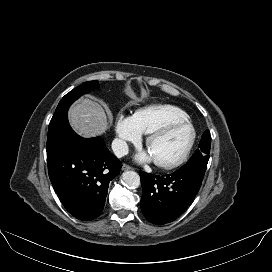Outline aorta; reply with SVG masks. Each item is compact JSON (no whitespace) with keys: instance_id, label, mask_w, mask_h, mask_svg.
Returning a JSON list of instances; mask_svg holds the SVG:
<instances>
[{"instance_id":"762f6f07","label":"aorta","mask_w":272,"mask_h":272,"mask_svg":"<svg viewBox=\"0 0 272 272\" xmlns=\"http://www.w3.org/2000/svg\"><path fill=\"white\" fill-rule=\"evenodd\" d=\"M122 183L127 188H137L140 185V177L134 171H126L122 174Z\"/></svg>"}]
</instances>
